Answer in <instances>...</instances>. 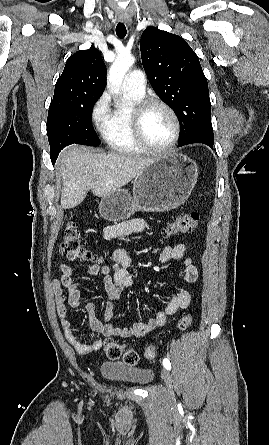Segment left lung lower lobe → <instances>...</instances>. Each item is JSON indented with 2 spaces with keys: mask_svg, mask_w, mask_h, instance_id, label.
<instances>
[{
  "mask_svg": "<svg viewBox=\"0 0 269 445\" xmlns=\"http://www.w3.org/2000/svg\"><path fill=\"white\" fill-rule=\"evenodd\" d=\"M206 145H208L210 148H213V142H207Z\"/></svg>",
  "mask_w": 269,
  "mask_h": 445,
  "instance_id": "left-lung-lower-lobe-1",
  "label": "left lung lower lobe"
}]
</instances>
